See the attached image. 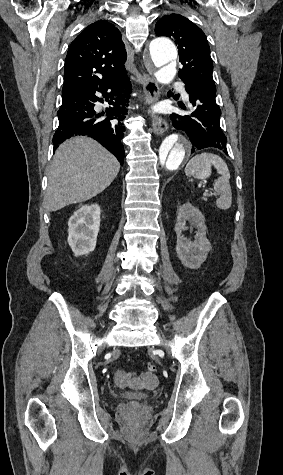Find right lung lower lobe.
I'll use <instances>...</instances> for the list:
<instances>
[{
  "instance_id": "obj_1",
  "label": "right lung lower lobe",
  "mask_w": 283,
  "mask_h": 475,
  "mask_svg": "<svg viewBox=\"0 0 283 475\" xmlns=\"http://www.w3.org/2000/svg\"><path fill=\"white\" fill-rule=\"evenodd\" d=\"M97 92H101L112 105L102 113L94 110L95 102H104L95 95ZM130 92L131 83L127 76L105 84L83 85L63 91L62 105L57 112L59 126L52 140L54 150L72 136L86 135L100 142L123 165L121 140L125 126L120 121L127 114ZM103 115L107 118H102Z\"/></svg>"
}]
</instances>
